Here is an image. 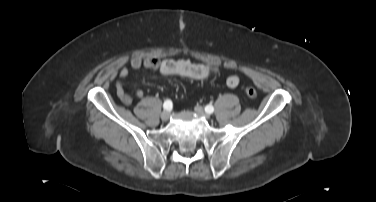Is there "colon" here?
I'll list each match as a JSON object with an SVG mask.
<instances>
[{
  "instance_id": "colon-1",
  "label": "colon",
  "mask_w": 376,
  "mask_h": 202,
  "mask_svg": "<svg viewBox=\"0 0 376 202\" xmlns=\"http://www.w3.org/2000/svg\"><path fill=\"white\" fill-rule=\"evenodd\" d=\"M245 91H246L247 96L251 98H254L257 96V91L253 87H247Z\"/></svg>"
}]
</instances>
